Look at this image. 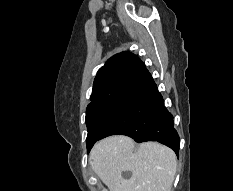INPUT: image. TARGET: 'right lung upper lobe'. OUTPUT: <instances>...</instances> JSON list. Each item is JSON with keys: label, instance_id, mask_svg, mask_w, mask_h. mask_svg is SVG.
Segmentation results:
<instances>
[{"label": "right lung upper lobe", "instance_id": "right-lung-upper-lobe-1", "mask_svg": "<svg viewBox=\"0 0 233 191\" xmlns=\"http://www.w3.org/2000/svg\"><path fill=\"white\" fill-rule=\"evenodd\" d=\"M145 69L144 63L127 51L112 56L95 77L90 104L127 91Z\"/></svg>", "mask_w": 233, "mask_h": 191}]
</instances>
